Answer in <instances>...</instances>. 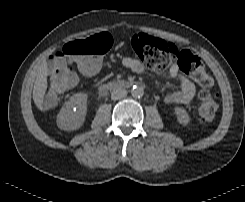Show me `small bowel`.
Segmentation results:
<instances>
[{"label": "small bowel", "mask_w": 245, "mask_h": 202, "mask_svg": "<svg viewBox=\"0 0 245 202\" xmlns=\"http://www.w3.org/2000/svg\"><path fill=\"white\" fill-rule=\"evenodd\" d=\"M121 65L135 74H143L145 69L143 64L132 57L121 59ZM100 67L97 63L90 64V73H97ZM168 80H174L178 83V89L165 96L167 104H188L193 99L196 87L190 77L180 68L178 64H173L167 74ZM55 105L53 97L48 96L41 105L43 110H49Z\"/></svg>", "instance_id": "obj_1"}]
</instances>
